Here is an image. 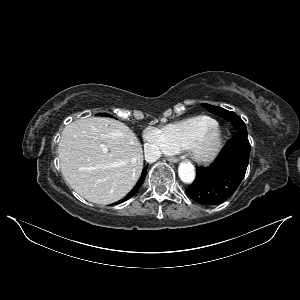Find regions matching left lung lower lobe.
<instances>
[{
    "instance_id": "0a47b994",
    "label": "left lung lower lobe",
    "mask_w": 300,
    "mask_h": 300,
    "mask_svg": "<svg viewBox=\"0 0 300 300\" xmlns=\"http://www.w3.org/2000/svg\"><path fill=\"white\" fill-rule=\"evenodd\" d=\"M249 155L247 136L236 134L209 167H196V179L185 192L197 203L207 206L228 199L245 176Z\"/></svg>"
}]
</instances>
